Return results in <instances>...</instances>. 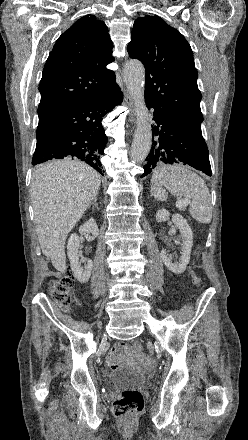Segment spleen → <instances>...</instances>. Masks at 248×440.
Segmentation results:
<instances>
[{"label":"spleen","instance_id":"obj_1","mask_svg":"<svg viewBox=\"0 0 248 440\" xmlns=\"http://www.w3.org/2000/svg\"><path fill=\"white\" fill-rule=\"evenodd\" d=\"M151 194L159 201H166L170 191L177 198L190 204V215L199 223L212 220L211 196L204 180L182 165H164L155 170L151 179Z\"/></svg>","mask_w":248,"mask_h":440}]
</instances>
